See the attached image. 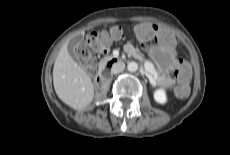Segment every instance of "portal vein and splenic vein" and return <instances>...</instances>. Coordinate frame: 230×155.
I'll list each match as a JSON object with an SVG mask.
<instances>
[{"label":"portal vein and splenic vein","instance_id":"portal-vein-and-splenic-vein-1","mask_svg":"<svg viewBox=\"0 0 230 155\" xmlns=\"http://www.w3.org/2000/svg\"><path fill=\"white\" fill-rule=\"evenodd\" d=\"M145 66H146V65H145ZM146 69H147V66H146ZM148 72H150L151 74H153V75L156 76V72H155V70H154L153 67H151V68L148 70ZM150 81H151L152 83H155V81L153 80L152 77H151Z\"/></svg>","mask_w":230,"mask_h":155}]
</instances>
